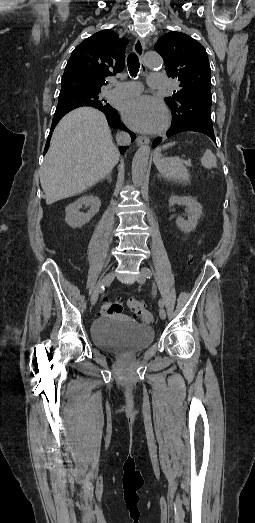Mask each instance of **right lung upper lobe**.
Returning a JSON list of instances; mask_svg holds the SVG:
<instances>
[{"label":"right lung upper lobe","mask_w":255,"mask_h":523,"mask_svg":"<svg viewBox=\"0 0 255 523\" xmlns=\"http://www.w3.org/2000/svg\"><path fill=\"white\" fill-rule=\"evenodd\" d=\"M127 43L126 38H119V35L111 29L97 32L81 42L72 52L65 67L61 90L101 92V87L108 84L105 78L123 70ZM82 106L99 109L105 114L110 127L127 131L131 138L133 137L134 134L120 122L118 111L98 100L82 102L80 105L75 102H58L51 132L65 114ZM50 138L51 134L48 139ZM48 147L47 143L46 149ZM125 150L126 147H120L121 153Z\"/></svg>","instance_id":"right-lung-upper-lobe-1"}]
</instances>
